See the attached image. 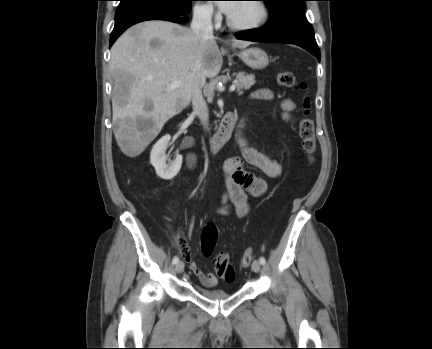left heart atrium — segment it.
Returning a JSON list of instances; mask_svg holds the SVG:
<instances>
[{
  "label": "left heart atrium",
  "instance_id": "39dd6f15",
  "mask_svg": "<svg viewBox=\"0 0 432 349\" xmlns=\"http://www.w3.org/2000/svg\"><path fill=\"white\" fill-rule=\"evenodd\" d=\"M236 6L237 3H235V1H223L220 4L222 11L228 15L233 12Z\"/></svg>",
  "mask_w": 432,
  "mask_h": 349
}]
</instances>
